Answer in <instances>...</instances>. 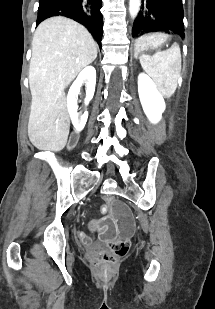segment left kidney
Segmentation results:
<instances>
[{"label":"left kidney","mask_w":215,"mask_h":309,"mask_svg":"<svg viewBox=\"0 0 215 309\" xmlns=\"http://www.w3.org/2000/svg\"><path fill=\"white\" fill-rule=\"evenodd\" d=\"M142 88H144L145 94ZM138 92L146 116L151 122H159L162 118V112L166 108L165 100L153 84V80L144 72H140L138 76Z\"/></svg>","instance_id":"left-kidney-1"}]
</instances>
